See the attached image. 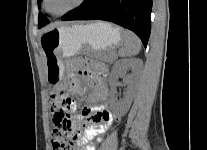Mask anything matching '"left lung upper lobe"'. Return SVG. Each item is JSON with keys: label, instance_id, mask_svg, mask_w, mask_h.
<instances>
[{"label": "left lung upper lobe", "instance_id": "5c2ea615", "mask_svg": "<svg viewBox=\"0 0 207 150\" xmlns=\"http://www.w3.org/2000/svg\"><path fill=\"white\" fill-rule=\"evenodd\" d=\"M41 2L42 0H38V5H40ZM38 20L39 28L45 26L49 22V20L42 13H39Z\"/></svg>", "mask_w": 207, "mask_h": 150}]
</instances>
